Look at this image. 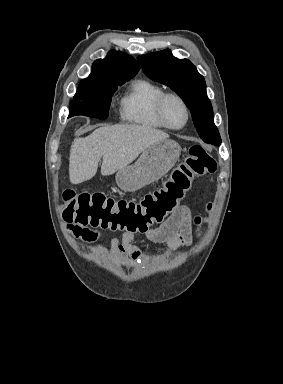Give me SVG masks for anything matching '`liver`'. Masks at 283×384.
I'll list each match as a JSON object with an SVG mask.
<instances>
[{
  "label": "liver",
  "instance_id": "1",
  "mask_svg": "<svg viewBox=\"0 0 283 384\" xmlns=\"http://www.w3.org/2000/svg\"><path fill=\"white\" fill-rule=\"evenodd\" d=\"M168 134L153 126L123 124L103 126L87 138H75L69 156L71 184L87 182L95 176L100 158L102 176H111L138 158L152 144L167 140Z\"/></svg>",
  "mask_w": 283,
  "mask_h": 384
}]
</instances>
